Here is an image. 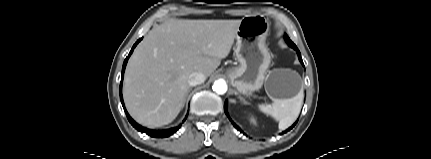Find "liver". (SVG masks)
<instances>
[{"label": "liver", "mask_w": 431, "mask_h": 159, "mask_svg": "<svg viewBox=\"0 0 431 159\" xmlns=\"http://www.w3.org/2000/svg\"><path fill=\"white\" fill-rule=\"evenodd\" d=\"M240 22L170 19L153 28L126 67L129 114L147 127L171 123L184 105L190 74L212 75L230 53Z\"/></svg>", "instance_id": "6515ba94"}]
</instances>
